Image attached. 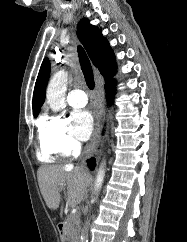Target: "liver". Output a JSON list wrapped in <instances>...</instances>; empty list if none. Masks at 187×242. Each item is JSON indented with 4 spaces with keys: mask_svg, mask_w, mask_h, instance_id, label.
Listing matches in <instances>:
<instances>
[{
    "mask_svg": "<svg viewBox=\"0 0 187 242\" xmlns=\"http://www.w3.org/2000/svg\"><path fill=\"white\" fill-rule=\"evenodd\" d=\"M37 176L42 196L51 210L59 207L62 190L66 191L67 203L77 206L87 195L91 183V176L85 169L72 165L41 166Z\"/></svg>",
    "mask_w": 187,
    "mask_h": 242,
    "instance_id": "liver-1",
    "label": "liver"
}]
</instances>
